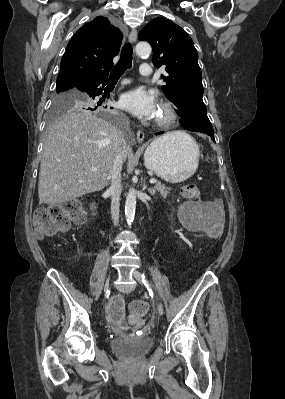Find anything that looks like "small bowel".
I'll use <instances>...</instances> for the list:
<instances>
[{
    "mask_svg": "<svg viewBox=\"0 0 285 399\" xmlns=\"http://www.w3.org/2000/svg\"><path fill=\"white\" fill-rule=\"evenodd\" d=\"M219 201H207L202 205L192 204L181 214L184 228L192 234L208 233L221 222L216 211ZM107 321L118 329H125V301L121 295L114 296L106 308ZM132 323L138 325V320L132 318Z\"/></svg>",
    "mask_w": 285,
    "mask_h": 399,
    "instance_id": "obj_1",
    "label": "small bowel"
}]
</instances>
